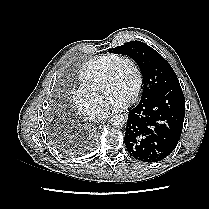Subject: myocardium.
<instances>
[{"label": "myocardium", "mask_w": 209, "mask_h": 209, "mask_svg": "<svg viewBox=\"0 0 209 209\" xmlns=\"http://www.w3.org/2000/svg\"><path fill=\"white\" fill-rule=\"evenodd\" d=\"M122 62H127L129 63L135 73L136 76V81H135V85L132 89V92L129 96V98L127 99V103H131L134 100H136V98L138 97L141 87H142V83H143V77H142V73L141 70L138 66V64L136 63V61L129 57V56H119L117 59H115L107 68L104 77H103V82H102V89L104 90V88L108 85V83L113 79L115 72L119 66L120 63Z\"/></svg>", "instance_id": "1"}]
</instances>
